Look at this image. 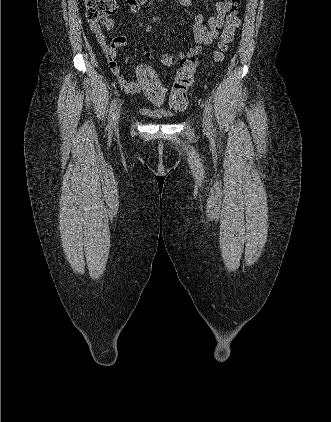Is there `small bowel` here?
Instances as JSON below:
<instances>
[{
  "mask_svg": "<svg viewBox=\"0 0 331 422\" xmlns=\"http://www.w3.org/2000/svg\"><path fill=\"white\" fill-rule=\"evenodd\" d=\"M180 5L192 9L196 12L195 22L192 26L193 37L195 41V46L192 47L189 51L180 52L177 54H163L161 56V61L165 66H174L179 65L183 60L189 58H195L198 54L201 53L203 46L209 45L213 42L214 39L218 36L219 29L224 24V19L228 11H230L232 6V0H226L217 2L215 5L216 13L214 16L210 17L207 23H204V17L194 0H175ZM128 5L129 11L132 15L137 14L141 7L145 5L148 0H125ZM161 15H156L153 18L154 22L161 20ZM184 22H188L187 17H183ZM114 21L112 19H107L104 23V26L107 30L111 31L114 28ZM91 32L95 36L98 45L105 53L109 67L112 73L115 75L119 85L126 93H140L143 91L142 84L137 81L128 80L125 78L119 68L120 62H126V59L120 61L117 60L118 51L126 44V37L123 35L115 37L110 43L105 39V36L102 32L101 26L98 24L90 25ZM145 32L150 34L152 32V27L150 25L145 27ZM145 58H153V55L149 51L143 53ZM163 100V99H162ZM162 100L155 103L159 104Z\"/></svg>",
  "mask_w": 331,
  "mask_h": 422,
  "instance_id": "c3829d8e",
  "label": "small bowel"
}]
</instances>
